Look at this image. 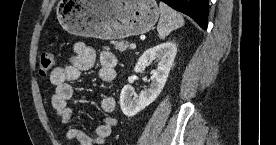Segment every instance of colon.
I'll return each mask as SVG.
<instances>
[{
	"mask_svg": "<svg viewBox=\"0 0 276 145\" xmlns=\"http://www.w3.org/2000/svg\"><path fill=\"white\" fill-rule=\"evenodd\" d=\"M54 54L50 51L43 52L39 58V72L41 75H47L53 68Z\"/></svg>",
	"mask_w": 276,
	"mask_h": 145,
	"instance_id": "1",
	"label": "colon"
}]
</instances>
